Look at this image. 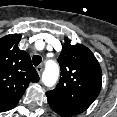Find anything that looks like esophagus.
<instances>
[{
    "instance_id": "34e87169",
    "label": "esophagus",
    "mask_w": 117,
    "mask_h": 117,
    "mask_svg": "<svg viewBox=\"0 0 117 117\" xmlns=\"http://www.w3.org/2000/svg\"><path fill=\"white\" fill-rule=\"evenodd\" d=\"M36 70H37L38 74L40 75L43 71V66L42 65L37 66Z\"/></svg>"
}]
</instances>
